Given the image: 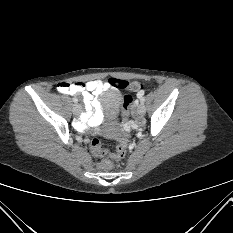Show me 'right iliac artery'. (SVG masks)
<instances>
[{"label": "right iliac artery", "instance_id": "right-iliac-artery-1", "mask_svg": "<svg viewBox=\"0 0 233 233\" xmlns=\"http://www.w3.org/2000/svg\"><path fill=\"white\" fill-rule=\"evenodd\" d=\"M72 100H73L74 103H77V102H78V99L75 98V97H74Z\"/></svg>", "mask_w": 233, "mask_h": 233}]
</instances>
